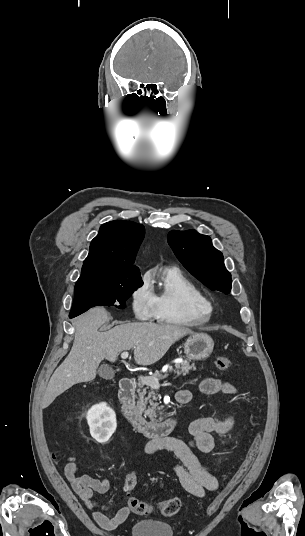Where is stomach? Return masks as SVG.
<instances>
[{
    "mask_svg": "<svg viewBox=\"0 0 305 536\" xmlns=\"http://www.w3.org/2000/svg\"><path fill=\"white\" fill-rule=\"evenodd\" d=\"M214 342L208 334H193L184 344V354L190 360H206L213 352Z\"/></svg>",
    "mask_w": 305,
    "mask_h": 536,
    "instance_id": "obj_1",
    "label": "stomach"
}]
</instances>
